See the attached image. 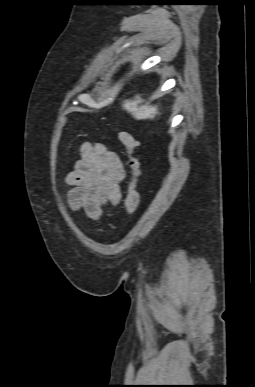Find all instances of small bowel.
I'll return each instance as SVG.
<instances>
[{"label":"small bowel","instance_id":"1","mask_svg":"<svg viewBox=\"0 0 255 387\" xmlns=\"http://www.w3.org/2000/svg\"><path fill=\"white\" fill-rule=\"evenodd\" d=\"M125 175L117 153L101 143H82L74 169L65 178L71 187L68 193L70 207L83 211L89 218L98 219L104 205L120 203Z\"/></svg>","mask_w":255,"mask_h":387}]
</instances>
